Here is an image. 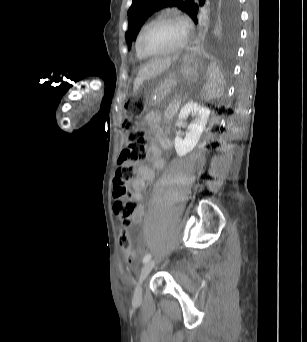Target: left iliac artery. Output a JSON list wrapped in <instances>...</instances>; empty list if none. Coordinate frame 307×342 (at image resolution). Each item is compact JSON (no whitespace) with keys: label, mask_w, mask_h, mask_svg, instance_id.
I'll return each mask as SVG.
<instances>
[{"label":"left iliac artery","mask_w":307,"mask_h":342,"mask_svg":"<svg viewBox=\"0 0 307 342\" xmlns=\"http://www.w3.org/2000/svg\"><path fill=\"white\" fill-rule=\"evenodd\" d=\"M150 258H151V254L150 253L146 254L143 258V263L148 262L150 260Z\"/></svg>","instance_id":"obj_1"}]
</instances>
